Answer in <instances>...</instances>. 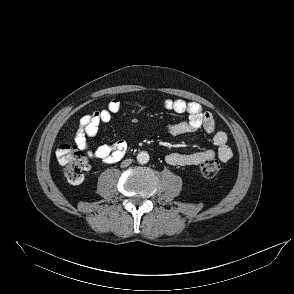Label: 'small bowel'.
I'll use <instances>...</instances> for the list:
<instances>
[{
	"instance_id": "c3829d8e",
	"label": "small bowel",
	"mask_w": 294,
	"mask_h": 294,
	"mask_svg": "<svg viewBox=\"0 0 294 294\" xmlns=\"http://www.w3.org/2000/svg\"><path fill=\"white\" fill-rule=\"evenodd\" d=\"M166 110L179 114H187V119L165 126L166 131L173 135L195 133L201 129L212 136L216 150L208 149L194 153L172 152L166 156V162L172 166H196L207 158L218 157L222 162H227L232 157V150L227 145V135L223 131H216L212 114L204 111L200 104L187 102L182 99H166L163 102ZM121 109V102L113 99L105 109L84 115L80 119V126L75 136V142L85 156L91 160L98 159L106 164L119 162L126 154L127 143L117 141L113 146L101 145L93 149L88 141L94 137L101 124L108 123L112 116Z\"/></svg>"
}]
</instances>
